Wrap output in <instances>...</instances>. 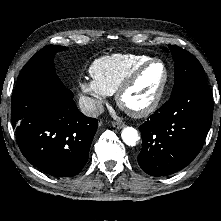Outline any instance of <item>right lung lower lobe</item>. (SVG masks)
Instances as JSON below:
<instances>
[{
    "mask_svg": "<svg viewBox=\"0 0 221 221\" xmlns=\"http://www.w3.org/2000/svg\"><path fill=\"white\" fill-rule=\"evenodd\" d=\"M11 119L25 158L55 177L77 175L84 167L97 119L83 115L63 86H41L12 99Z\"/></svg>",
    "mask_w": 221,
    "mask_h": 221,
    "instance_id": "98d812e1",
    "label": "right lung lower lobe"
}]
</instances>
